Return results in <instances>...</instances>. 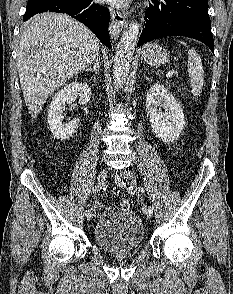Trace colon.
I'll list each match as a JSON object with an SVG mask.
<instances>
[{
  "mask_svg": "<svg viewBox=\"0 0 233 294\" xmlns=\"http://www.w3.org/2000/svg\"><path fill=\"white\" fill-rule=\"evenodd\" d=\"M132 205H133V203H132V201H131L130 199H122V200L120 201V206H121L122 208H127V209H129V208L132 207Z\"/></svg>",
  "mask_w": 233,
  "mask_h": 294,
  "instance_id": "obj_1",
  "label": "colon"
}]
</instances>
